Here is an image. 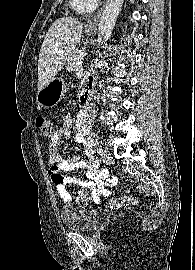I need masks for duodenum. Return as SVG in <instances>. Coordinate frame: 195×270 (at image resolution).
<instances>
[{"label": "duodenum", "mask_w": 195, "mask_h": 270, "mask_svg": "<svg viewBox=\"0 0 195 270\" xmlns=\"http://www.w3.org/2000/svg\"><path fill=\"white\" fill-rule=\"evenodd\" d=\"M92 90H93V79L92 77H89L88 82L81 94L80 97V104L83 107H86L90 103L91 95H92Z\"/></svg>", "instance_id": "1"}]
</instances>
